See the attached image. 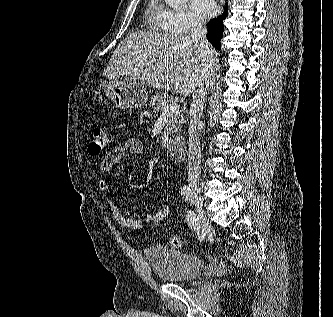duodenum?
Masks as SVG:
<instances>
[{"instance_id":"1","label":"duodenum","mask_w":333,"mask_h":317,"mask_svg":"<svg viewBox=\"0 0 333 317\" xmlns=\"http://www.w3.org/2000/svg\"><path fill=\"white\" fill-rule=\"evenodd\" d=\"M168 156L173 162H180L186 154V141L184 138H177L171 141L167 148Z\"/></svg>"}]
</instances>
